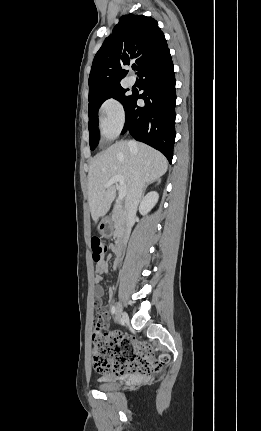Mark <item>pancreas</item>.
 Listing matches in <instances>:
<instances>
[{"instance_id": "obj_1", "label": "pancreas", "mask_w": 261, "mask_h": 431, "mask_svg": "<svg viewBox=\"0 0 261 431\" xmlns=\"http://www.w3.org/2000/svg\"><path fill=\"white\" fill-rule=\"evenodd\" d=\"M112 220L114 222V228L116 229L115 235L118 236L123 230L125 224L124 210L121 204H117L114 208Z\"/></svg>"}]
</instances>
